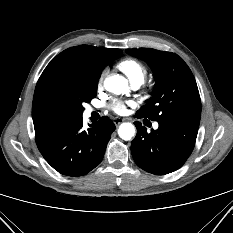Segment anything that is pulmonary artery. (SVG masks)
Instances as JSON below:
<instances>
[{"mask_svg":"<svg viewBox=\"0 0 233 233\" xmlns=\"http://www.w3.org/2000/svg\"><path fill=\"white\" fill-rule=\"evenodd\" d=\"M139 86H140V83H134V84H132V87H133L134 89H137ZM92 111H93V109H89V112H92ZM158 126H159L158 123H154V124H153L154 129H157Z\"/></svg>","mask_w":233,"mask_h":233,"instance_id":"pulmonary-artery-1","label":"pulmonary artery"}]
</instances>
